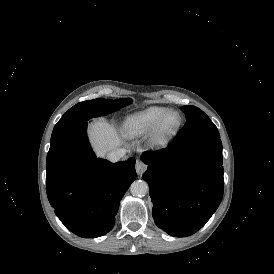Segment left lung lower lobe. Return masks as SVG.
<instances>
[{"label":"left lung lower lobe","mask_w":274,"mask_h":274,"mask_svg":"<svg viewBox=\"0 0 274 274\" xmlns=\"http://www.w3.org/2000/svg\"><path fill=\"white\" fill-rule=\"evenodd\" d=\"M220 136L176 137L156 152H144L155 224L175 237L197 232L218 208L224 190Z\"/></svg>","instance_id":"obj_1"}]
</instances>
